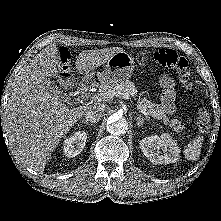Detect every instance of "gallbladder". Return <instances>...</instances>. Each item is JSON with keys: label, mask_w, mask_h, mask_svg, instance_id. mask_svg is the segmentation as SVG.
Listing matches in <instances>:
<instances>
[{"label": "gallbladder", "mask_w": 221, "mask_h": 221, "mask_svg": "<svg viewBox=\"0 0 221 221\" xmlns=\"http://www.w3.org/2000/svg\"><path fill=\"white\" fill-rule=\"evenodd\" d=\"M46 87L49 91L53 92L60 100L65 102L68 101V96L65 93L59 91L52 81L47 80Z\"/></svg>", "instance_id": "1"}]
</instances>
